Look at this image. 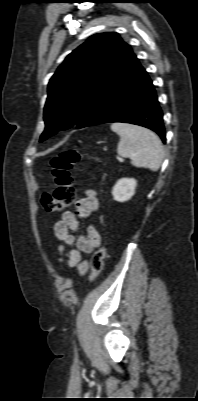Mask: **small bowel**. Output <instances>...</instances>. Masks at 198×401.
<instances>
[{
  "label": "small bowel",
  "mask_w": 198,
  "mask_h": 401,
  "mask_svg": "<svg viewBox=\"0 0 198 401\" xmlns=\"http://www.w3.org/2000/svg\"><path fill=\"white\" fill-rule=\"evenodd\" d=\"M98 206L96 192L87 190L85 195L76 202L74 211L63 212L61 219L54 224V235L59 242L60 260H66L69 267L77 268L82 274L88 268V263L82 255L89 254L99 247L102 238L94 225H89L84 235H77L78 219L90 217L97 211Z\"/></svg>",
  "instance_id": "c3829d8e"
}]
</instances>
